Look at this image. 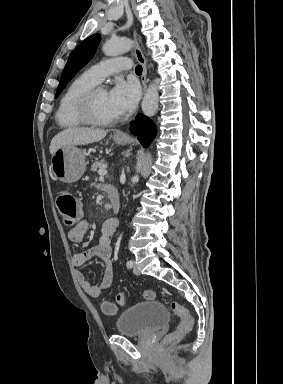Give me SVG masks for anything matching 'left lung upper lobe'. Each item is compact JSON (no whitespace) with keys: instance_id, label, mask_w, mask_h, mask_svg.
<instances>
[{"instance_id":"1","label":"left lung upper lobe","mask_w":283,"mask_h":384,"mask_svg":"<svg viewBox=\"0 0 283 384\" xmlns=\"http://www.w3.org/2000/svg\"><path fill=\"white\" fill-rule=\"evenodd\" d=\"M100 39L101 36L99 34L91 35L83 40L80 45L70 54L66 66L62 72L55 97H57L62 92L67 83L93 57Z\"/></svg>"}]
</instances>
